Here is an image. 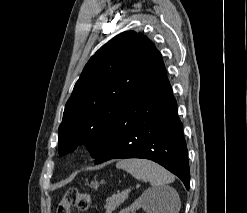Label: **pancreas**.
<instances>
[{
	"label": "pancreas",
	"mask_w": 247,
	"mask_h": 213,
	"mask_svg": "<svg viewBox=\"0 0 247 213\" xmlns=\"http://www.w3.org/2000/svg\"><path fill=\"white\" fill-rule=\"evenodd\" d=\"M126 199L127 196L122 194H114L111 197L107 198L106 204L104 205L106 213H112V211L120 206Z\"/></svg>",
	"instance_id": "obj_1"
}]
</instances>
